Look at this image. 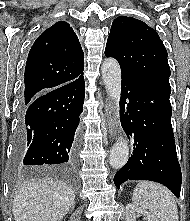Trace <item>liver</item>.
I'll list each match as a JSON object with an SVG mask.
<instances>
[{"instance_id": "1", "label": "liver", "mask_w": 190, "mask_h": 221, "mask_svg": "<svg viewBox=\"0 0 190 221\" xmlns=\"http://www.w3.org/2000/svg\"><path fill=\"white\" fill-rule=\"evenodd\" d=\"M74 190L54 180L28 182L15 192L12 212L15 221H60L73 206Z\"/></svg>"}]
</instances>
